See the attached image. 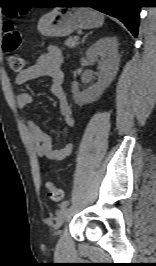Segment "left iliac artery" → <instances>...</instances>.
I'll return each instance as SVG.
<instances>
[{
    "mask_svg": "<svg viewBox=\"0 0 156 266\" xmlns=\"http://www.w3.org/2000/svg\"><path fill=\"white\" fill-rule=\"evenodd\" d=\"M68 205H69V201L68 200H65V201L61 202L60 208L63 209V208H65Z\"/></svg>",
    "mask_w": 156,
    "mask_h": 266,
    "instance_id": "obj_1",
    "label": "left iliac artery"
}]
</instances>
